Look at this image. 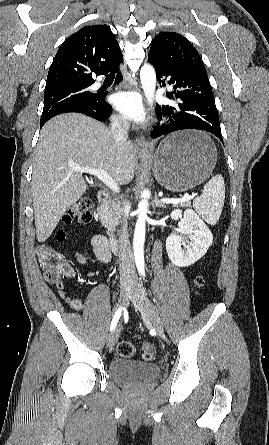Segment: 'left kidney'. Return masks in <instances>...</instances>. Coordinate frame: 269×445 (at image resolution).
Wrapping results in <instances>:
<instances>
[{
	"mask_svg": "<svg viewBox=\"0 0 269 445\" xmlns=\"http://www.w3.org/2000/svg\"><path fill=\"white\" fill-rule=\"evenodd\" d=\"M171 218L180 219L182 232L188 234L190 241L181 235H170L166 240V251L171 262L178 267H188L202 258L213 241V235L203 220L191 209L171 212ZM182 245L185 249L182 248Z\"/></svg>",
	"mask_w": 269,
	"mask_h": 445,
	"instance_id": "left-kidney-1",
	"label": "left kidney"
}]
</instances>
